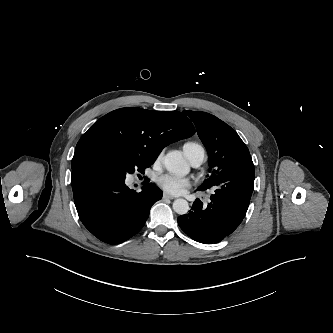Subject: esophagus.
Instances as JSON below:
<instances>
[{
	"label": "esophagus",
	"instance_id": "obj_1",
	"mask_svg": "<svg viewBox=\"0 0 333 333\" xmlns=\"http://www.w3.org/2000/svg\"><path fill=\"white\" fill-rule=\"evenodd\" d=\"M163 199H170V200H173L175 199L174 196L168 194V193H163Z\"/></svg>",
	"mask_w": 333,
	"mask_h": 333
}]
</instances>
